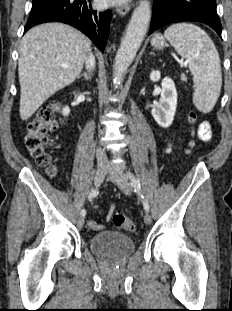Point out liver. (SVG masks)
I'll return each instance as SVG.
<instances>
[{
	"label": "liver",
	"instance_id": "6515ba94",
	"mask_svg": "<svg viewBox=\"0 0 232 311\" xmlns=\"http://www.w3.org/2000/svg\"><path fill=\"white\" fill-rule=\"evenodd\" d=\"M90 46L88 37L62 23L39 25L24 35L18 60L21 120L79 77Z\"/></svg>",
	"mask_w": 232,
	"mask_h": 311
}]
</instances>
